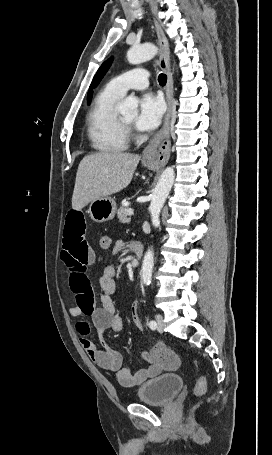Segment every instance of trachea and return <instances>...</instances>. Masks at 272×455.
<instances>
[{
  "mask_svg": "<svg viewBox=\"0 0 272 455\" xmlns=\"http://www.w3.org/2000/svg\"><path fill=\"white\" fill-rule=\"evenodd\" d=\"M158 82L161 86H164L167 82V76L165 74H160L158 76Z\"/></svg>",
  "mask_w": 272,
  "mask_h": 455,
  "instance_id": "trachea-1",
  "label": "trachea"
}]
</instances>
